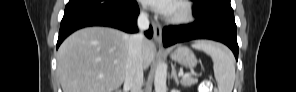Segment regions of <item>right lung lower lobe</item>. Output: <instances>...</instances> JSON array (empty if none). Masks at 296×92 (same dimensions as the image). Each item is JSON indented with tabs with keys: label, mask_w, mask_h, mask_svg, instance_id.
Instances as JSON below:
<instances>
[{
	"label": "right lung lower lobe",
	"mask_w": 296,
	"mask_h": 92,
	"mask_svg": "<svg viewBox=\"0 0 296 92\" xmlns=\"http://www.w3.org/2000/svg\"><path fill=\"white\" fill-rule=\"evenodd\" d=\"M138 14L135 0H69L61 21L57 48L72 32L87 26H108L129 33L137 32ZM145 35L152 37L151 27Z\"/></svg>",
	"instance_id": "98d812e1"
}]
</instances>
